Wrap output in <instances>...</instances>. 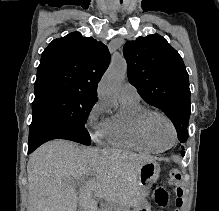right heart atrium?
<instances>
[{"instance_id": "obj_1", "label": "right heart atrium", "mask_w": 219, "mask_h": 211, "mask_svg": "<svg viewBox=\"0 0 219 211\" xmlns=\"http://www.w3.org/2000/svg\"><path fill=\"white\" fill-rule=\"evenodd\" d=\"M109 120L107 117V108L101 101H97L89 110L86 117V125L92 133V139L100 143L102 139L108 136Z\"/></svg>"}]
</instances>
